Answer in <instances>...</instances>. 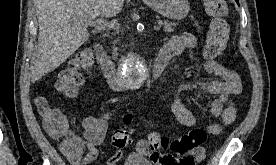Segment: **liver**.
Instances as JSON below:
<instances>
[{
    "label": "liver",
    "instance_id": "liver-1",
    "mask_svg": "<svg viewBox=\"0 0 276 165\" xmlns=\"http://www.w3.org/2000/svg\"><path fill=\"white\" fill-rule=\"evenodd\" d=\"M124 0H37L38 47L31 62L35 83L64 63L89 38L88 23L114 17Z\"/></svg>",
    "mask_w": 276,
    "mask_h": 165
}]
</instances>
